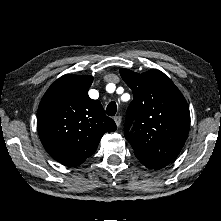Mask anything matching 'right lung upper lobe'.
Segmentation results:
<instances>
[{
	"label": "right lung upper lobe",
	"mask_w": 221,
	"mask_h": 221,
	"mask_svg": "<svg viewBox=\"0 0 221 221\" xmlns=\"http://www.w3.org/2000/svg\"><path fill=\"white\" fill-rule=\"evenodd\" d=\"M92 82V76L64 75L49 87L38 108L40 140L52 158L67 166L83 163L103 134L117 128L100 101L88 96Z\"/></svg>",
	"instance_id": "right-lung-upper-lobe-1"
}]
</instances>
